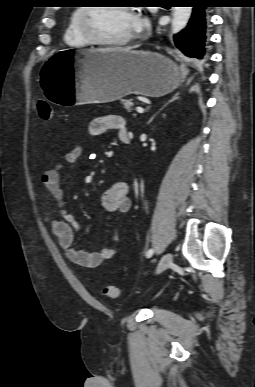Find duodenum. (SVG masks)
I'll return each instance as SVG.
<instances>
[{"label": "duodenum", "instance_id": "410a0bca", "mask_svg": "<svg viewBox=\"0 0 255 387\" xmlns=\"http://www.w3.org/2000/svg\"><path fill=\"white\" fill-rule=\"evenodd\" d=\"M120 140L123 142V143H130V137H129V134L127 133H123L120 135Z\"/></svg>", "mask_w": 255, "mask_h": 387}]
</instances>
